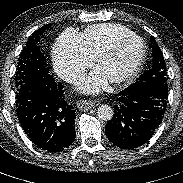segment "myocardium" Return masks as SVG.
<instances>
[{
  "mask_svg": "<svg viewBox=\"0 0 183 183\" xmlns=\"http://www.w3.org/2000/svg\"><path fill=\"white\" fill-rule=\"evenodd\" d=\"M130 41H138L141 44V52L134 65L126 73L114 77L110 80L112 84H124L132 81L137 76L145 61L147 53V47L144 40L137 35L121 38L118 41H116L113 45H111L108 49L104 50L96 59V66L99 68L102 63H104L107 59L115 55L124 44Z\"/></svg>",
  "mask_w": 183,
  "mask_h": 183,
  "instance_id": "1",
  "label": "myocardium"
}]
</instances>
